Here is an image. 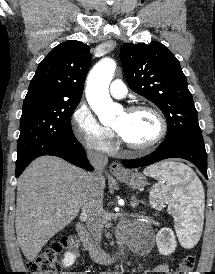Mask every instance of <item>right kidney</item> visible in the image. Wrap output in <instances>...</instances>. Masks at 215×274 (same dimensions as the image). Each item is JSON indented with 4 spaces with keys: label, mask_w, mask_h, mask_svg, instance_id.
<instances>
[{
    "label": "right kidney",
    "mask_w": 215,
    "mask_h": 274,
    "mask_svg": "<svg viewBox=\"0 0 215 274\" xmlns=\"http://www.w3.org/2000/svg\"><path fill=\"white\" fill-rule=\"evenodd\" d=\"M75 259H76L75 254H73L71 252H66L65 257L63 259L64 266H66V267L71 266L75 262Z\"/></svg>",
    "instance_id": "ca27d5eb"
}]
</instances>
